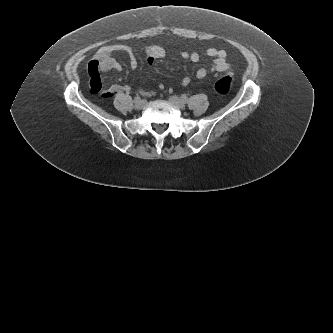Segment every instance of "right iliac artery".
Wrapping results in <instances>:
<instances>
[{
    "label": "right iliac artery",
    "instance_id": "obj_1",
    "mask_svg": "<svg viewBox=\"0 0 333 333\" xmlns=\"http://www.w3.org/2000/svg\"><path fill=\"white\" fill-rule=\"evenodd\" d=\"M138 100H141V97H140L139 95H137V96L135 97V101H138Z\"/></svg>",
    "mask_w": 333,
    "mask_h": 333
}]
</instances>
